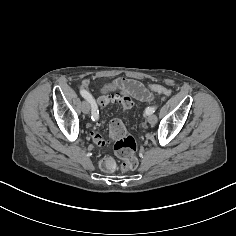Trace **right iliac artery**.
<instances>
[{
    "label": "right iliac artery",
    "instance_id": "82829eb1",
    "mask_svg": "<svg viewBox=\"0 0 236 236\" xmlns=\"http://www.w3.org/2000/svg\"><path fill=\"white\" fill-rule=\"evenodd\" d=\"M80 94L82 95V97H84L85 99L88 100V102L91 104V107H92V116H91V119L93 121L95 120H98V114H99V111L97 110V105L94 101V99L92 98V96L84 89L80 90Z\"/></svg>",
    "mask_w": 236,
    "mask_h": 236
}]
</instances>
